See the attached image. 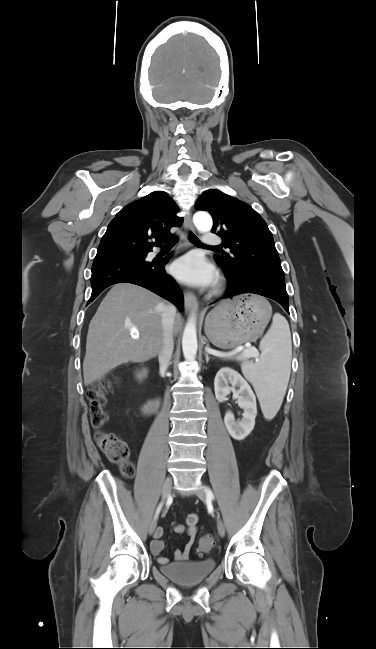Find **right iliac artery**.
I'll return each instance as SVG.
<instances>
[{"instance_id":"82829eb1","label":"right iliac artery","mask_w":376,"mask_h":649,"mask_svg":"<svg viewBox=\"0 0 376 649\" xmlns=\"http://www.w3.org/2000/svg\"><path fill=\"white\" fill-rule=\"evenodd\" d=\"M162 505H163V503H160V504H159V506H158V508H157V511H156V516L159 514V512H160V510H161V508H162Z\"/></svg>"}]
</instances>
